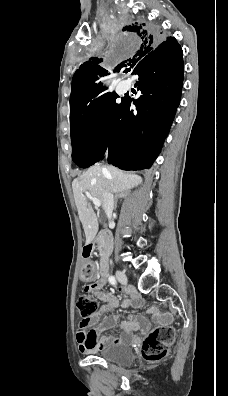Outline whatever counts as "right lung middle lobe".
Returning <instances> with one entry per match:
<instances>
[{"label":"right lung middle lobe","mask_w":228,"mask_h":396,"mask_svg":"<svg viewBox=\"0 0 228 396\" xmlns=\"http://www.w3.org/2000/svg\"><path fill=\"white\" fill-rule=\"evenodd\" d=\"M117 97L115 92L105 93L87 109L70 118L72 159L79 167L87 168L103 158L110 130L122 103L115 102Z\"/></svg>","instance_id":"1"}]
</instances>
